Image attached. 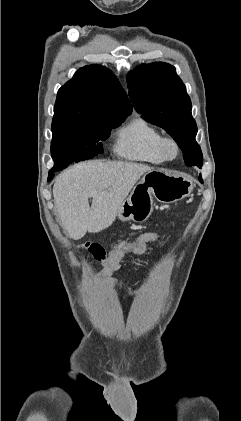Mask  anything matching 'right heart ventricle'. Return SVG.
I'll return each mask as SVG.
<instances>
[{
  "instance_id": "right-heart-ventricle-1",
  "label": "right heart ventricle",
  "mask_w": 241,
  "mask_h": 421,
  "mask_svg": "<svg viewBox=\"0 0 241 421\" xmlns=\"http://www.w3.org/2000/svg\"><path fill=\"white\" fill-rule=\"evenodd\" d=\"M161 138L160 131L138 115L118 131L115 151L130 160L160 164L165 161L159 150Z\"/></svg>"
}]
</instances>
